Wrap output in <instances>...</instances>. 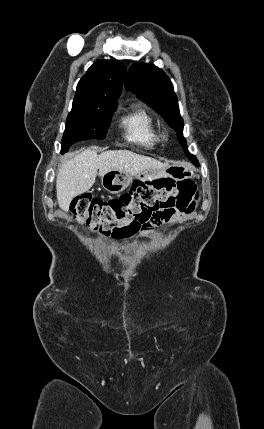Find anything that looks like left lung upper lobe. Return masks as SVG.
I'll use <instances>...</instances> for the list:
<instances>
[{"mask_svg":"<svg viewBox=\"0 0 264 429\" xmlns=\"http://www.w3.org/2000/svg\"><path fill=\"white\" fill-rule=\"evenodd\" d=\"M126 87L158 112L177 131L180 144L188 157L186 141L183 138V120L179 113L178 100L169 77L153 64L135 63L129 69Z\"/></svg>","mask_w":264,"mask_h":429,"instance_id":"obj_1","label":"left lung upper lobe"}]
</instances>
